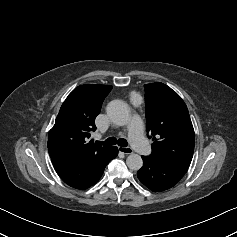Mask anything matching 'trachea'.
Wrapping results in <instances>:
<instances>
[{
    "label": "trachea",
    "instance_id": "3493384b",
    "mask_svg": "<svg viewBox=\"0 0 237 237\" xmlns=\"http://www.w3.org/2000/svg\"><path fill=\"white\" fill-rule=\"evenodd\" d=\"M97 144H103V145H106V146H111V145H116L118 144L119 146L121 147H126L128 145L127 141L125 139H119L117 140L116 138L114 137H109L108 139H106L105 141H97L96 142Z\"/></svg>",
    "mask_w": 237,
    "mask_h": 237
}]
</instances>
